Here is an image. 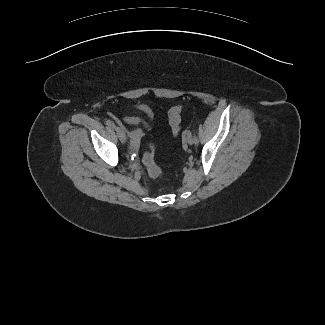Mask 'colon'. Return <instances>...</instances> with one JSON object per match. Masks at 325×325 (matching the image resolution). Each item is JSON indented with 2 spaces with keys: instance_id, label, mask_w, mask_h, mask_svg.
<instances>
[{
  "instance_id": "1",
  "label": "colon",
  "mask_w": 325,
  "mask_h": 325,
  "mask_svg": "<svg viewBox=\"0 0 325 325\" xmlns=\"http://www.w3.org/2000/svg\"><path fill=\"white\" fill-rule=\"evenodd\" d=\"M182 106L177 105L172 107L169 110L168 117H169V124L172 130L173 135L176 137L179 135L181 130V111ZM143 163L147 169L148 174L151 177H159L162 174V170L160 166H158L154 159V146L150 145L148 151L143 156Z\"/></svg>"
}]
</instances>
